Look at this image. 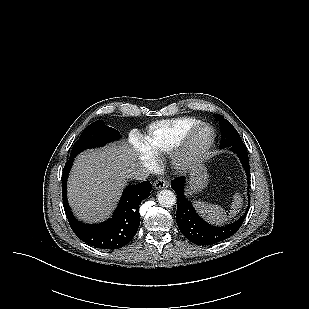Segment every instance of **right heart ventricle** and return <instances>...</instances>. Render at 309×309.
Segmentation results:
<instances>
[{"instance_id": "right-heart-ventricle-1", "label": "right heart ventricle", "mask_w": 309, "mask_h": 309, "mask_svg": "<svg viewBox=\"0 0 309 309\" xmlns=\"http://www.w3.org/2000/svg\"><path fill=\"white\" fill-rule=\"evenodd\" d=\"M199 123L194 118H177L157 121L148 127L141 138L143 149L153 157L170 153L185 138L191 127Z\"/></svg>"}]
</instances>
